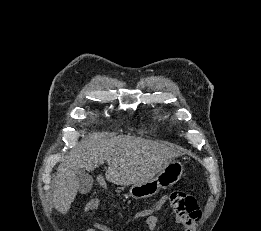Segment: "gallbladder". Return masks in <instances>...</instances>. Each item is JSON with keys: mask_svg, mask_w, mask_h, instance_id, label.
<instances>
[{"mask_svg": "<svg viewBox=\"0 0 261 231\" xmlns=\"http://www.w3.org/2000/svg\"><path fill=\"white\" fill-rule=\"evenodd\" d=\"M77 180L79 183V191L81 194H87L93 186V178L85 171L79 170L77 173Z\"/></svg>", "mask_w": 261, "mask_h": 231, "instance_id": "1", "label": "gallbladder"}]
</instances>
